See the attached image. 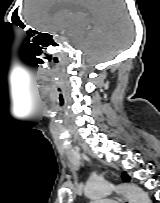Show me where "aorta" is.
Wrapping results in <instances>:
<instances>
[{
	"label": "aorta",
	"mask_w": 160,
	"mask_h": 203,
	"mask_svg": "<svg viewBox=\"0 0 160 203\" xmlns=\"http://www.w3.org/2000/svg\"><path fill=\"white\" fill-rule=\"evenodd\" d=\"M118 191L127 197L131 203H151L148 194L135 184L123 183L115 185L109 181H91L85 186V195L92 199H98Z\"/></svg>",
	"instance_id": "aorta-1"
}]
</instances>
